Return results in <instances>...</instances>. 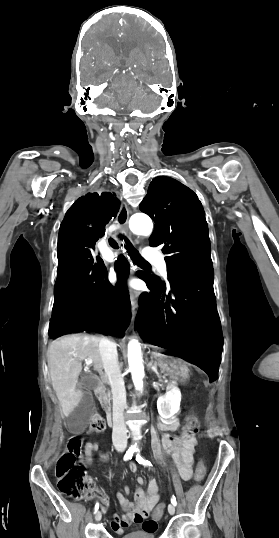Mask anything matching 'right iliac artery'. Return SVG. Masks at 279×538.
Instances as JSON below:
<instances>
[{
  "label": "right iliac artery",
  "instance_id": "obj_1",
  "mask_svg": "<svg viewBox=\"0 0 279 538\" xmlns=\"http://www.w3.org/2000/svg\"><path fill=\"white\" fill-rule=\"evenodd\" d=\"M133 453H134V450L129 449V450L126 452L125 456H124V461H127V460L131 459L132 456H133ZM98 508H99V503H96L95 508H94V512H95V513L97 512Z\"/></svg>",
  "mask_w": 279,
  "mask_h": 538
}]
</instances>
